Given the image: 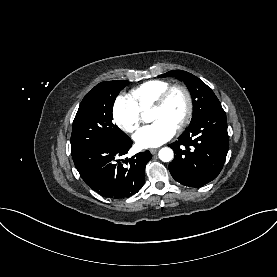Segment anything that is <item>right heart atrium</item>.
Instances as JSON below:
<instances>
[{
    "label": "right heart atrium",
    "instance_id": "1",
    "mask_svg": "<svg viewBox=\"0 0 277 277\" xmlns=\"http://www.w3.org/2000/svg\"><path fill=\"white\" fill-rule=\"evenodd\" d=\"M115 123L125 132L133 133L140 124V110L127 95H119L112 107Z\"/></svg>",
    "mask_w": 277,
    "mask_h": 277
}]
</instances>
